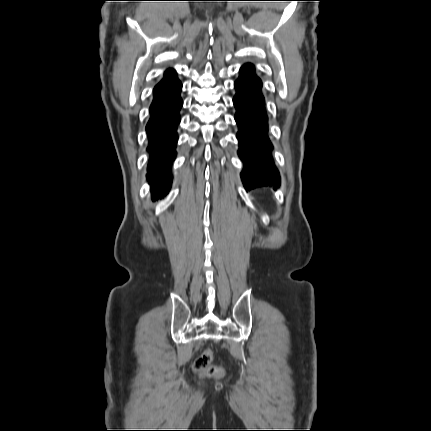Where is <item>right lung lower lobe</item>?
<instances>
[{
    "label": "right lung lower lobe",
    "instance_id": "98d812e1",
    "mask_svg": "<svg viewBox=\"0 0 431 431\" xmlns=\"http://www.w3.org/2000/svg\"><path fill=\"white\" fill-rule=\"evenodd\" d=\"M181 82L177 77L153 91L150 119L146 125L149 163L147 178L152 198L166 195L171 187V165L177 154V128L182 107Z\"/></svg>",
    "mask_w": 431,
    "mask_h": 431
}]
</instances>
